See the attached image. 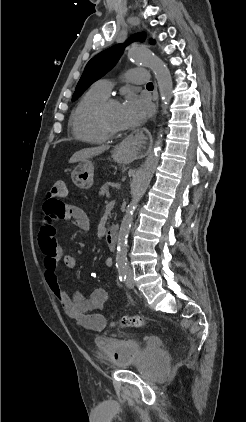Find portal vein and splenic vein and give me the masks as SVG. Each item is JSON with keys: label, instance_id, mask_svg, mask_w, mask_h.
I'll return each instance as SVG.
<instances>
[{"label": "portal vein and splenic vein", "instance_id": "portal-vein-and-splenic-vein-1", "mask_svg": "<svg viewBox=\"0 0 246 422\" xmlns=\"http://www.w3.org/2000/svg\"><path fill=\"white\" fill-rule=\"evenodd\" d=\"M106 196H107V197H109V196H110V193H109V191H108V192L106 193Z\"/></svg>", "mask_w": 246, "mask_h": 422}]
</instances>
